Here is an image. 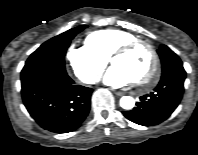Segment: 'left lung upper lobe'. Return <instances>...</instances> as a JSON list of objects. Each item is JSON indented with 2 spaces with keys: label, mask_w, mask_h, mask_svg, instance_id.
<instances>
[{
  "label": "left lung upper lobe",
  "mask_w": 198,
  "mask_h": 155,
  "mask_svg": "<svg viewBox=\"0 0 198 155\" xmlns=\"http://www.w3.org/2000/svg\"><path fill=\"white\" fill-rule=\"evenodd\" d=\"M157 52L162 63V77L175 71L184 70L180 58L166 45H161ZM141 114L144 118L150 117L148 112H141Z\"/></svg>",
  "instance_id": "left-lung-upper-lobe-1"
}]
</instances>
